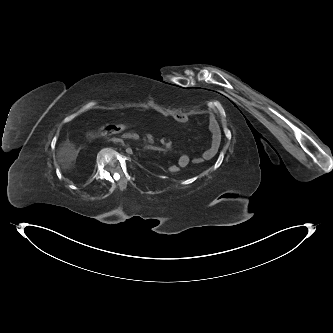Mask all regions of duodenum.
<instances>
[{
	"mask_svg": "<svg viewBox=\"0 0 333 333\" xmlns=\"http://www.w3.org/2000/svg\"><path fill=\"white\" fill-rule=\"evenodd\" d=\"M123 138L138 139L137 133H123ZM144 148L149 151L160 152L162 148L156 144H145Z\"/></svg>",
	"mask_w": 333,
	"mask_h": 333,
	"instance_id": "obj_1",
	"label": "duodenum"
}]
</instances>
